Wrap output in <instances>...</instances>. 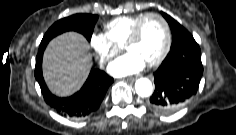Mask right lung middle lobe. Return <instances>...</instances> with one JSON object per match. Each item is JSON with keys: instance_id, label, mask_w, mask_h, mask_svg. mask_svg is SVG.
I'll use <instances>...</instances> for the list:
<instances>
[{"instance_id": "dd1d6c3e", "label": "right lung middle lobe", "mask_w": 236, "mask_h": 135, "mask_svg": "<svg viewBox=\"0 0 236 135\" xmlns=\"http://www.w3.org/2000/svg\"><path fill=\"white\" fill-rule=\"evenodd\" d=\"M97 19V15L91 14H75L63 18L55 22L48 29L40 43V47L46 46L53 37L66 31L79 32L83 34L88 41H90Z\"/></svg>"}]
</instances>
